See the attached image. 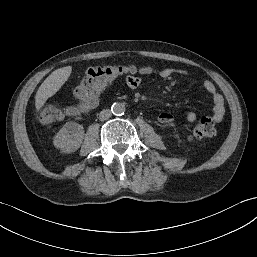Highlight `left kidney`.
Returning <instances> with one entry per match:
<instances>
[{
    "label": "left kidney",
    "instance_id": "obj_1",
    "mask_svg": "<svg viewBox=\"0 0 257 257\" xmlns=\"http://www.w3.org/2000/svg\"><path fill=\"white\" fill-rule=\"evenodd\" d=\"M176 137H179V135H178V134H176Z\"/></svg>",
    "mask_w": 257,
    "mask_h": 257
}]
</instances>
